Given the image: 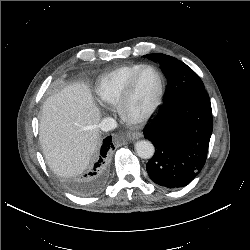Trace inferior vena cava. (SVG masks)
Listing matches in <instances>:
<instances>
[{
    "label": "inferior vena cava",
    "instance_id": "obj_1",
    "mask_svg": "<svg viewBox=\"0 0 250 250\" xmlns=\"http://www.w3.org/2000/svg\"><path fill=\"white\" fill-rule=\"evenodd\" d=\"M116 127H117V122L115 121V119L111 117H106L99 123V128L104 132L113 130Z\"/></svg>",
    "mask_w": 250,
    "mask_h": 250
}]
</instances>
